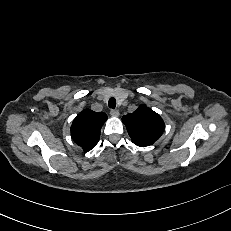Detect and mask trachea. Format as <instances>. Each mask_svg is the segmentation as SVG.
<instances>
[{"label": "trachea", "instance_id": "obj_1", "mask_svg": "<svg viewBox=\"0 0 231 231\" xmlns=\"http://www.w3.org/2000/svg\"><path fill=\"white\" fill-rule=\"evenodd\" d=\"M108 106L112 109H114L116 107V100L114 97H111L108 101Z\"/></svg>", "mask_w": 231, "mask_h": 231}]
</instances>
